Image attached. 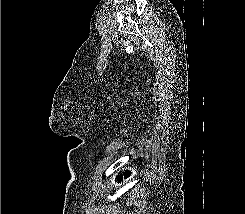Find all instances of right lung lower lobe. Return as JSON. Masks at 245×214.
Here are the masks:
<instances>
[{
	"label": "right lung lower lobe",
	"mask_w": 245,
	"mask_h": 214,
	"mask_svg": "<svg viewBox=\"0 0 245 214\" xmlns=\"http://www.w3.org/2000/svg\"><path fill=\"white\" fill-rule=\"evenodd\" d=\"M130 175V172H128V171H126L125 173H124V176H125V178L126 177H128ZM122 175H120L119 177H118V180L120 181V180H122Z\"/></svg>",
	"instance_id": "1"
}]
</instances>
